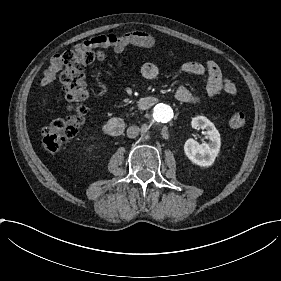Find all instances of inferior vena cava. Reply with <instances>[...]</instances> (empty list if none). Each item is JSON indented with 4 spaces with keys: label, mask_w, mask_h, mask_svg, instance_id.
<instances>
[{
    "label": "inferior vena cava",
    "mask_w": 281,
    "mask_h": 281,
    "mask_svg": "<svg viewBox=\"0 0 281 281\" xmlns=\"http://www.w3.org/2000/svg\"><path fill=\"white\" fill-rule=\"evenodd\" d=\"M140 133V129L138 126H130L128 129H127V136L129 138H135L139 135Z\"/></svg>",
    "instance_id": "602c4592"
}]
</instances>
